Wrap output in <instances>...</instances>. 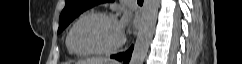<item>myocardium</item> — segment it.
<instances>
[{"instance_id": "1", "label": "myocardium", "mask_w": 242, "mask_h": 64, "mask_svg": "<svg viewBox=\"0 0 242 64\" xmlns=\"http://www.w3.org/2000/svg\"><path fill=\"white\" fill-rule=\"evenodd\" d=\"M90 17H103V18H106V19H110V20H113L115 22H117V19L115 17V15L111 14V13H108V12H103V11H93V12H89V13H86L82 16H80L75 22L74 24L72 25L69 33H68V37H67V42H68V45L70 47V49L77 55H80V56H91V55H108V54H111V53H114L116 52L118 49H120L124 43H125V36L124 34L122 33V36L120 38V40L114 44L113 46L109 47V48H105V49H98V50H79L75 47V45L73 44V34H74V31L76 29V27L78 26V24L87 19V18H90Z\"/></svg>"}]
</instances>
